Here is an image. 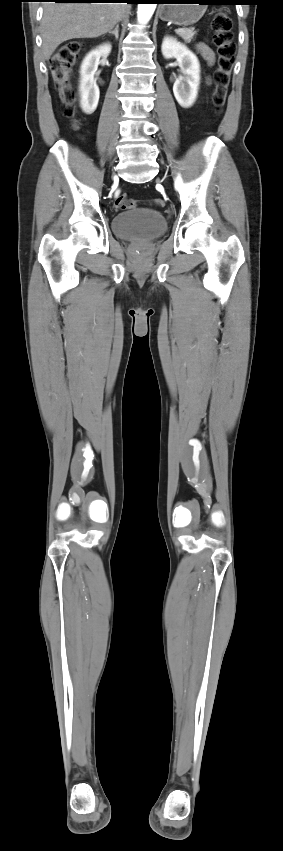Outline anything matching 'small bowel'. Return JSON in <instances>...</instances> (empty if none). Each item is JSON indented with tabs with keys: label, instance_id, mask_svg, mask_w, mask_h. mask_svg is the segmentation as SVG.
<instances>
[{
	"label": "small bowel",
	"instance_id": "small-bowel-1",
	"mask_svg": "<svg viewBox=\"0 0 283 851\" xmlns=\"http://www.w3.org/2000/svg\"><path fill=\"white\" fill-rule=\"evenodd\" d=\"M196 48L208 65H212L214 63V53L206 43L200 42L197 44Z\"/></svg>",
	"mask_w": 283,
	"mask_h": 851
}]
</instances>
